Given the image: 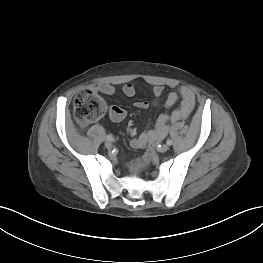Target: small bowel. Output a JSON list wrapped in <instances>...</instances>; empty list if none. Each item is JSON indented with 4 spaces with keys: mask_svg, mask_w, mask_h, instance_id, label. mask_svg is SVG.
<instances>
[{
    "mask_svg": "<svg viewBox=\"0 0 263 263\" xmlns=\"http://www.w3.org/2000/svg\"><path fill=\"white\" fill-rule=\"evenodd\" d=\"M94 90L100 91L105 95H113L115 93V88L110 84H99L95 85ZM123 94L127 97H132L136 93L135 86L128 83L122 88ZM164 92L163 86L157 85L153 88V95L155 97V103L160 99ZM181 100L180 105L176 108L170 115H160L157 119L156 126L154 129H149L144 131L138 137H134L130 141V145L134 149H140L145 147L151 141L162 138L168 129V122H177L188 118L195 106V95L187 87H180L177 91L170 92L167 95L165 105L167 107L173 106L178 100ZM135 107L140 110H146L149 107L147 101H137ZM109 117L113 122L122 121L126 112L119 106H111L109 108Z\"/></svg>",
    "mask_w": 263,
    "mask_h": 263,
    "instance_id": "small-bowel-1",
    "label": "small bowel"
}]
</instances>
